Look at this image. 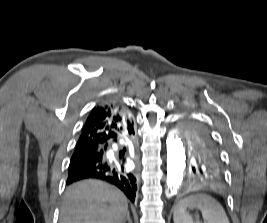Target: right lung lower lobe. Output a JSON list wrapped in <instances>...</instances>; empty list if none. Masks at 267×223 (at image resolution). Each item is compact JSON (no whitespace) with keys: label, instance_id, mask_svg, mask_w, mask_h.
Instances as JSON below:
<instances>
[{"label":"right lung lower lobe","instance_id":"1","mask_svg":"<svg viewBox=\"0 0 267 223\" xmlns=\"http://www.w3.org/2000/svg\"><path fill=\"white\" fill-rule=\"evenodd\" d=\"M134 134V127L127 137ZM117 142V141H116ZM109 143L97 150L72 158L68 169L67 185L84 179H99L120 188L133 202L136 196L137 179L131 172L114 165L107 157Z\"/></svg>","mask_w":267,"mask_h":223}]
</instances>
